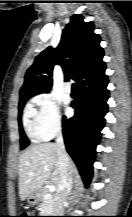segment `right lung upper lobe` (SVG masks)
Segmentation results:
<instances>
[{"mask_svg":"<svg viewBox=\"0 0 132 217\" xmlns=\"http://www.w3.org/2000/svg\"><path fill=\"white\" fill-rule=\"evenodd\" d=\"M100 41L91 22H84L81 15L72 16L63 30L58 47L45 49L27 70L20 89V99L49 92L56 64L62 67L65 80L73 79L78 86L106 77Z\"/></svg>","mask_w":132,"mask_h":217,"instance_id":"1","label":"right lung upper lobe"}]
</instances>
